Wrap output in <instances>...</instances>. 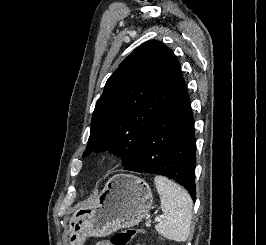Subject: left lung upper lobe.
<instances>
[{
  "instance_id": "5c2ea615",
  "label": "left lung upper lobe",
  "mask_w": 266,
  "mask_h": 245,
  "mask_svg": "<svg viewBox=\"0 0 266 245\" xmlns=\"http://www.w3.org/2000/svg\"><path fill=\"white\" fill-rule=\"evenodd\" d=\"M183 83L178 60L163 43L150 40L136 48L106 82L83 157L109 150L128 167L142 137Z\"/></svg>"
}]
</instances>
